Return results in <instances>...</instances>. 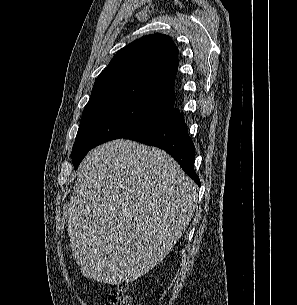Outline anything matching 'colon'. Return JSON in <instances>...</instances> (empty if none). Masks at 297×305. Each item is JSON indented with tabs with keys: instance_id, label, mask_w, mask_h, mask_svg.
<instances>
[{
	"instance_id": "5ec220e1",
	"label": "colon",
	"mask_w": 297,
	"mask_h": 305,
	"mask_svg": "<svg viewBox=\"0 0 297 305\" xmlns=\"http://www.w3.org/2000/svg\"><path fill=\"white\" fill-rule=\"evenodd\" d=\"M106 305H141V303L131 285L123 283L110 293Z\"/></svg>"
}]
</instances>
